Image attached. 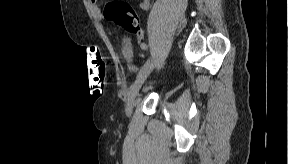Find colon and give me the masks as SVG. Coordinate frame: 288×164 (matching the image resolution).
Here are the masks:
<instances>
[{
  "label": "colon",
  "instance_id": "5ec220e1",
  "mask_svg": "<svg viewBox=\"0 0 288 164\" xmlns=\"http://www.w3.org/2000/svg\"><path fill=\"white\" fill-rule=\"evenodd\" d=\"M107 21L123 27L138 40L145 39V33L139 22V17L131 5L125 0H110L104 10Z\"/></svg>",
  "mask_w": 288,
  "mask_h": 164
}]
</instances>
